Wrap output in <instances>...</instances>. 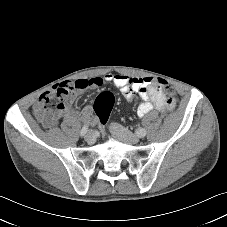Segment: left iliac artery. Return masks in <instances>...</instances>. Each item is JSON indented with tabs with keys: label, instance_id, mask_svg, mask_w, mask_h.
<instances>
[{
	"label": "left iliac artery",
	"instance_id": "1",
	"mask_svg": "<svg viewBox=\"0 0 227 227\" xmlns=\"http://www.w3.org/2000/svg\"><path fill=\"white\" fill-rule=\"evenodd\" d=\"M137 134L138 136L140 137H144L146 135V130L144 128H140L138 131H137Z\"/></svg>",
	"mask_w": 227,
	"mask_h": 227
}]
</instances>
